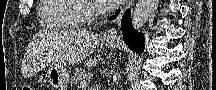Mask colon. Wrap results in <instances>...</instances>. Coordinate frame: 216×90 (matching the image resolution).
<instances>
[{
	"label": "colon",
	"instance_id": "1",
	"mask_svg": "<svg viewBox=\"0 0 216 90\" xmlns=\"http://www.w3.org/2000/svg\"><path fill=\"white\" fill-rule=\"evenodd\" d=\"M23 90H33V88L31 86L26 85L24 86Z\"/></svg>",
	"mask_w": 216,
	"mask_h": 90
}]
</instances>
